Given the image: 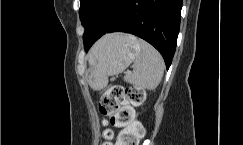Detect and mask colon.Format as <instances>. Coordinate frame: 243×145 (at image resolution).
<instances>
[{"mask_svg":"<svg viewBox=\"0 0 243 145\" xmlns=\"http://www.w3.org/2000/svg\"><path fill=\"white\" fill-rule=\"evenodd\" d=\"M145 91L139 86L110 87L102 96L99 110L108 118L111 125L121 128L117 141L114 145H138L144 136V128L135 120L133 107L141 106L145 101ZM113 138L111 129L103 132L102 145H112Z\"/></svg>","mask_w":243,"mask_h":145,"instance_id":"obj_1","label":"colon"}]
</instances>
